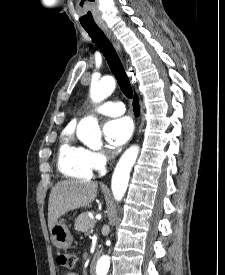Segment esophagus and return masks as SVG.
I'll use <instances>...</instances> for the list:
<instances>
[{"label": "esophagus", "instance_id": "1", "mask_svg": "<svg viewBox=\"0 0 225 275\" xmlns=\"http://www.w3.org/2000/svg\"><path fill=\"white\" fill-rule=\"evenodd\" d=\"M100 28L104 32V34L107 36V38L111 41L115 49L119 53H121V45L118 39L116 38V36L114 35V33L112 32V30L106 25H101Z\"/></svg>", "mask_w": 225, "mask_h": 275}]
</instances>
